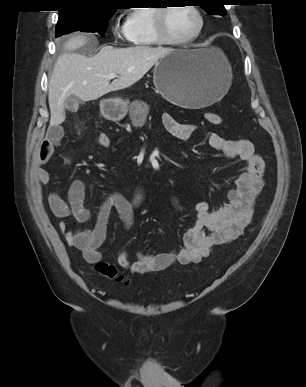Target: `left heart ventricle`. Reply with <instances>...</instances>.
I'll list each match as a JSON object with an SVG mask.
<instances>
[{
  "label": "left heart ventricle",
  "instance_id": "b2bd125f",
  "mask_svg": "<svg viewBox=\"0 0 306 387\" xmlns=\"http://www.w3.org/2000/svg\"><path fill=\"white\" fill-rule=\"evenodd\" d=\"M198 26L196 14L188 7H171L166 15V30L170 37L184 39Z\"/></svg>",
  "mask_w": 306,
  "mask_h": 387
}]
</instances>
